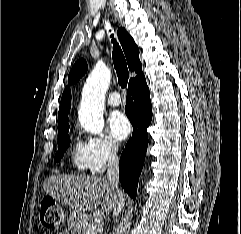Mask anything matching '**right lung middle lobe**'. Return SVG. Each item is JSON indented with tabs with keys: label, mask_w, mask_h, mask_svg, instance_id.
Wrapping results in <instances>:
<instances>
[{
	"label": "right lung middle lobe",
	"mask_w": 241,
	"mask_h": 234,
	"mask_svg": "<svg viewBox=\"0 0 241 234\" xmlns=\"http://www.w3.org/2000/svg\"><path fill=\"white\" fill-rule=\"evenodd\" d=\"M69 130L70 128L67 127L58 131L59 147H58V152L55 155L54 162L61 160L64 152L67 150V148L70 145V138L68 135Z\"/></svg>",
	"instance_id": "right-lung-middle-lobe-1"
}]
</instances>
